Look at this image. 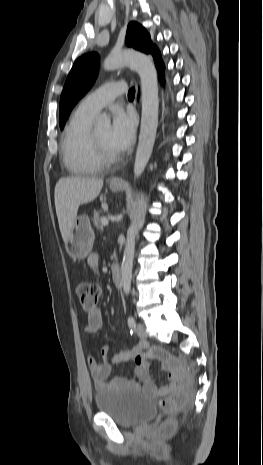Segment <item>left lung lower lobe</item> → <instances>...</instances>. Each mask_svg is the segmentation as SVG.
I'll return each mask as SVG.
<instances>
[{"label":"left lung lower lobe","mask_w":263,"mask_h":465,"mask_svg":"<svg viewBox=\"0 0 263 465\" xmlns=\"http://www.w3.org/2000/svg\"><path fill=\"white\" fill-rule=\"evenodd\" d=\"M151 54L154 57L157 69L159 71L160 79L163 82V79H164V64L162 62L161 55H160V52H159L158 48H156Z\"/></svg>","instance_id":"0a47b994"}]
</instances>
